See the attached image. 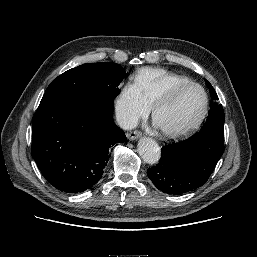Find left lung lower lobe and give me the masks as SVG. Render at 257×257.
<instances>
[{
    "instance_id": "obj_1",
    "label": "left lung lower lobe",
    "mask_w": 257,
    "mask_h": 257,
    "mask_svg": "<svg viewBox=\"0 0 257 257\" xmlns=\"http://www.w3.org/2000/svg\"><path fill=\"white\" fill-rule=\"evenodd\" d=\"M223 151L224 136L194 134L162 147L160 162L147 175L164 193H187L207 182Z\"/></svg>"
}]
</instances>
